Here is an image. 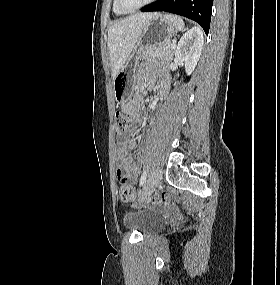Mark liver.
I'll list each match as a JSON object with an SVG mask.
<instances>
[{
  "mask_svg": "<svg viewBox=\"0 0 280 285\" xmlns=\"http://www.w3.org/2000/svg\"><path fill=\"white\" fill-rule=\"evenodd\" d=\"M157 13H137L114 23L108 31V49L114 80L134 51L147 23Z\"/></svg>",
  "mask_w": 280,
  "mask_h": 285,
  "instance_id": "6515ba94",
  "label": "liver"
}]
</instances>
